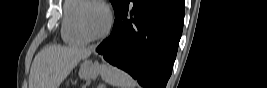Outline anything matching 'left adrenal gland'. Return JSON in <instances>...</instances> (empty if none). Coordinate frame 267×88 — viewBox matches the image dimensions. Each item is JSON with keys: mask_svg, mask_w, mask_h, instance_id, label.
Masks as SVG:
<instances>
[{"mask_svg": "<svg viewBox=\"0 0 267 88\" xmlns=\"http://www.w3.org/2000/svg\"><path fill=\"white\" fill-rule=\"evenodd\" d=\"M98 88H106V86L104 84H101L98 86Z\"/></svg>", "mask_w": 267, "mask_h": 88, "instance_id": "obj_1", "label": "left adrenal gland"}]
</instances>
